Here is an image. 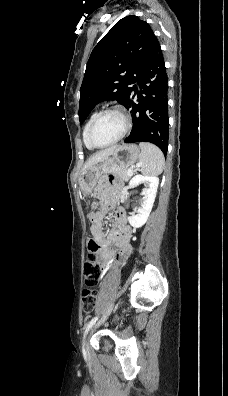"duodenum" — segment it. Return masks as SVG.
<instances>
[{
	"mask_svg": "<svg viewBox=\"0 0 228 396\" xmlns=\"http://www.w3.org/2000/svg\"><path fill=\"white\" fill-rule=\"evenodd\" d=\"M116 221L119 235H124L126 231H129V227L122 218H117Z\"/></svg>",
	"mask_w": 228,
	"mask_h": 396,
	"instance_id": "1",
	"label": "duodenum"
}]
</instances>
